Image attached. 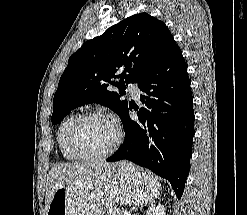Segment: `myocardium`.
<instances>
[{
	"label": "myocardium",
	"mask_w": 247,
	"mask_h": 215,
	"mask_svg": "<svg viewBox=\"0 0 247 215\" xmlns=\"http://www.w3.org/2000/svg\"><path fill=\"white\" fill-rule=\"evenodd\" d=\"M88 119H103L111 122L116 130V136L113 144L104 152L97 153V154H89L81 151L78 147L77 143V132L80 127V125L88 120ZM122 141V132L119 126H117L109 116L106 114L100 112V111H89L83 114L78 115L75 120L73 121L69 132H68V146L71 154L77 158L78 160H84V161H100L107 159L112 154L115 153V151L119 148Z\"/></svg>",
	"instance_id": "myocardium-1"
}]
</instances>
